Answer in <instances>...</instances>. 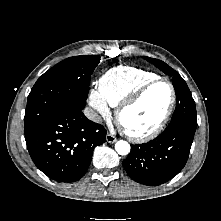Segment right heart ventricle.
I'll return each instance as SVG.
<instances>
[{"instance_id": "e07e8e85", "label": "right heart ventricle", "mask_w": 221, "mask_h": 221, "mask_svg": "<svg viewBox=\"0 0 221 221\" xmlns=\"http://www.w3.org/2000/svg\"><path fill=\"white\" fill-rule=\"evenodd\" d=\"M156 77L158 75L144 69L117 66L109 69L100 77L99 94L106 104L116 107L141 85Z\"/></svg>"}]
</instances>
